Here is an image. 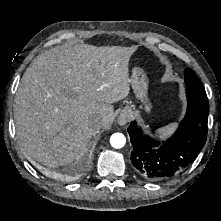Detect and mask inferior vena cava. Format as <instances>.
Instances as JSON below:
<instances>
[{
	"instance_id": "obj_1",
	"label": "inferior vena cava",
	"mask_w": 221,
	"mask_h": 221,
	"mask_svg": "<svg viewBox=\"0 0 221 221\" xmlns=\"http://www.w3.org/2000/svg\"><path fill=\"white\" fill-rule=\"evenodd\" d=\"M102 123V118L100 116H97L91 119V121L89 122V126L91 127V129L98 131L102 127Z\"/></svg>"
}]
</instances>
